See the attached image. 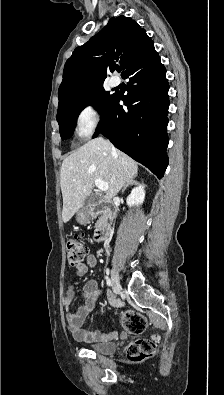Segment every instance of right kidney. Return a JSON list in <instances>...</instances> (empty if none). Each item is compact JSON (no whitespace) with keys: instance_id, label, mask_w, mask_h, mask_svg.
Segmentation results:
<instances>
[{"instance_id":"right-kidney-1","label":"right kidney","mask_w":224,"mask_h":395,"mask_svg":"<svg viewBox=\"0 0 224 395\" xmlns=\"http://www.w3.org/2000/svg\"><path fill=\"white\" fill-rule=\"evenodd\" d=\"M145 185L144 184H138L137 187L132 189L131 193L127 197V205L129 207L134 206V205H140L143 203L144 198H145Z\"/></svg>"}]
</instances>
